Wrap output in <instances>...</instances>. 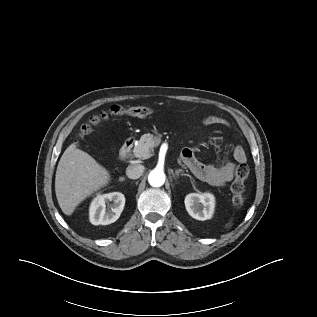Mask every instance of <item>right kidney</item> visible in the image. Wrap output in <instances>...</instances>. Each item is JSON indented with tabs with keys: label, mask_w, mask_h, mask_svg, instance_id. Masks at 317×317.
<instances>
[{
	"label": "right kidney",
	"mask_w": 317,
	"mask_h": 317,
	"mask_svg": "<svg viewBox=\"0 0 317 317\" xmlns=\"http://www.w3.org/2000/svg\"><path fill=\"white\" fill-rule=\"evenodd\" d=\"M124 205L125 196L120 192L97 195L89 208L90 222L93 225L111 224L120 217Z\"/></svg>",
	"instance_id": "right-kidney-1"
}]
</instances>
